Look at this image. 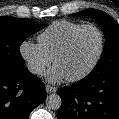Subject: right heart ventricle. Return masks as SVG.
Segmentation results:
<instances>
[{"instance_id": "1", "label": "right heart ventricle", "mask_w": 119, "mask_h": 119, "mask_svg": "<svg viewBox=\"0 0 119 119\" xmlns=\"http://www.w3.org/2000/svg\"><path fill=\"white\" fill-rule=\"evenodd\" d=\"M83 25L82 23L66 20L55 21L38 36V43L53 59L69 36Z\"/></svg>"}]
</instances>
